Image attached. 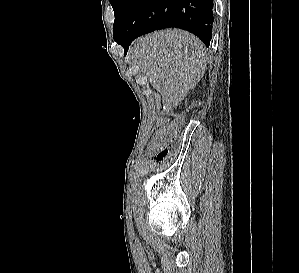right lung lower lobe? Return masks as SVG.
Wrapping results in <instances>:
<instances>
[{
	"mask_svg": "<svg viewBox=\"0 0 299 273\" xmlns=\"http://www.w3.org/2000/svg\"><path fill=\"white\" fill-rule=\"evenodd\" d=\"M213 20V0H134L114 40L126 55L135 38L176 27L195 34L209 46Z\"/></svg>",
	"mask_w": 299,
	"mask_h": 273,
	"instance_id": "98d812e1",
	"label": "right lung lower lobe"
}]
</instances>
